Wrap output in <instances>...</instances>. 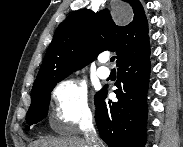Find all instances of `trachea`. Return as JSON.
Segmentation results:
<instances>
[{"mask_svg": "<svg viewBox=\"0 0 183 147\" xmlns=\"http://www.w3.org/2000/svg\"><path fill=\"white\" fill-rule=\"evenodd\" d=\"M110 61H111V62H114V61H115V56H112V57L110 58Z\"/></svg>", "mask_w": 183, "mask_h": 147, "instance_id": "trachea-1", "label": "trachea"}]
</instances>
